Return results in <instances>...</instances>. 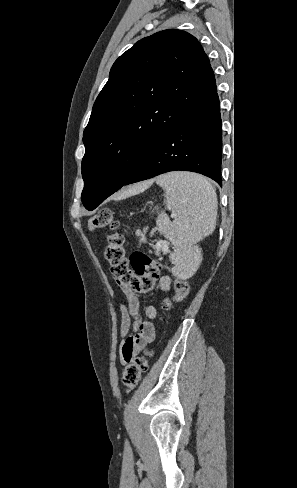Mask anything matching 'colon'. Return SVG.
Listing matches in <instances>:
<instances>
[{
  "instance_id": "5ec220e1",
  "label": "colon",
  "mask_w": 297,
  "mask_h": 488,
  "mask_svg": "<svg viewBox=\"0 0 297 488\" xmlns=\"http://www.w3.org/2000/svg\"><path fill=\"white\" fill-rule=\"evenodd\" d=\"M92 229H105L109 232L105 249V258L111 266L113 277L136 291L146 293L154 289L155 283L167 264L154 260L141 251H136L128 258L124 248V237L118 232L119 222L108 208L97 211L90 219ZM189 293V284L185 279L176 278L174 295L166 299L164 309L172 308L174 303L182 301ZM152 351L146 350L143 355L134 358L122 372V384L126 391H132L147 372Z\"/></svg>"
}]
</instances>
